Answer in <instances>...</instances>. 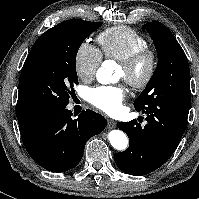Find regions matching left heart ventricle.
<instances>
[{"mask_svg":"<svg viewBox=\"0 0 199 199\" xmlns=\"http://www.w3.org/2000/svg\"><path fill=\"white\" fill-rule=\"evenodd\" d=\"M117 75L119 78L123 79V78H126L127 73L121 66H119L117 70Z\"/></svg>","mask_w":199,"mask_h":199,"instance_id":"obj_1","label":"left heart ventricle"}]
</instances>
